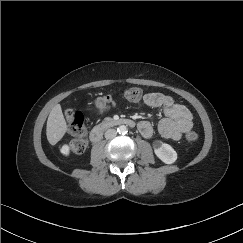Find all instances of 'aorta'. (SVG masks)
Wrapping results in <instances>:
<instances>
[{"mask_svg": "<svg viewBox=\"0 0 243 243\" xmlns=\"http://www.w3.org/2000/svg\"><path fill=\"white\" fill-rule=\"evenodd\" d=\"M117 132L119 134H126L127 133V127L125 125H121L117 128Z\"/></svg>", "mask_w": 243, "mask_h": 243, "instance_id": "aorta-1", "label": "aorta"}]
</instances>
